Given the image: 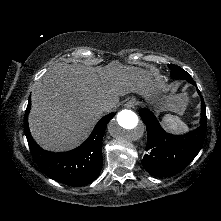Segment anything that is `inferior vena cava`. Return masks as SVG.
I'll use <instances>...</instances> for the list:
<instances>
[{
    "label": "inferior vena cava",
    "instance_id": "inferior-vena-cava-1",
    "mask_svg": "<svg viewBox=\"0 0 221 221\" xmlns=\"http://www.w3.org/2000/svg\"><path fill=\"white\" fill-rule=\"evenodd\" d=\"M110 106L108 104H103L99 107V112L102 114L104 112L110 111Z\"/></svg>",
    "mask_w": 221,
    "mask_h": 221
}]
</instances>
